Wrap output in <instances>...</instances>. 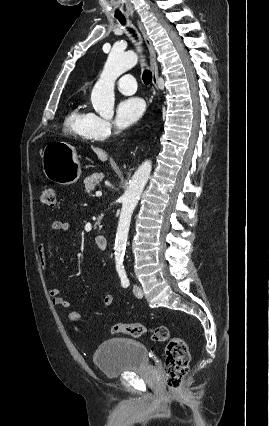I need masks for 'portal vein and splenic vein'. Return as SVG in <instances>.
<instances>
[{
	"label": "portal vein and splenic vein",
	"mask_w": 269,
	"mask_h": 426,
	"mask_svg": "<svg viewBox=\"0 0 269 426\" xmlns=\"http://www.w3.org/2000/svg\"><path fill=\"white\" fill-rule=\"evenodd\" d=\"M101 195H102V192H101V191H97V192H96V196H97V197H99V196H101Z\"/></svg>",
	"instance_id": "portal-vein-and-splenic-vein-1"
}]
</instances>
